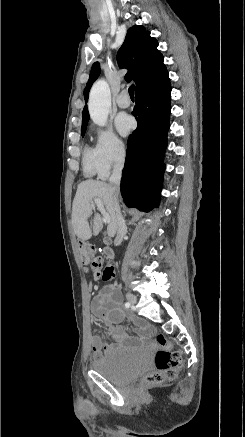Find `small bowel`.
I'll return each mask as SVG.
<instances>
[{
  "instance_id": "small-bowel-1",
  "label": "small bowel",
  "mask_w": 245,
  "mask_h": 437,
  "mask_svg": "<svg viewBox=\"0 0 245 437\" xmlns=\"http://www.w3.org/2000/svg\"><path fill=\"white\" fill-rule=\"evenodd\" d=\"M91 313L93 317L102 320L108 327L111 337L117 341V344H103L101 338L93 334L91 336V350L94 357L99 358L103 351L107 352L120 345L133 344L135 340L128 336L123 327L120 325L124 320H134L128 316L118 303V294L114 286H105L97 294L91 304ZM138 329L141 334H148L149 328L145 323L138 322Z\"/></svg>"
}]
</instances>
